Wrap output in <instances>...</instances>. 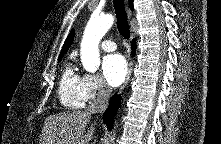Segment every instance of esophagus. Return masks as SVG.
<instances>
[{"instance_id":"1","label":"esophagus","mask_w":221,"mask_h":144,"mask_svg":"<svg viewBox=\"0 0 221 144\" xmlns=\"http://www.w3.org/2000/svg\"><path fill=\"white\" fill-rule=\"evenodd\" d=\"M125 2H126L127 14H128L129 19H130L131 16H132V12H131V10L129 8L128 0H125ZM132 68H133V63L130 62L126 79H125L124 83L122 84L121 88L119 89L118 93H121L123 91V89L127 86L128 82H129V80L131 78Z\"/></svg>"}]
</instances>
